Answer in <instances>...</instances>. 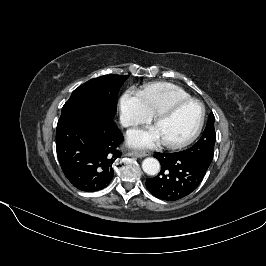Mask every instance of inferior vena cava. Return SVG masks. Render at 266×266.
<instances>
[{
  "label": "inferior vena cava",
  "instance_id": "inferior-vena-cava-1",
  "mask_svg": "<svg viewBox=\"0 0 266 266\" xmlns=\"http://www.w3.org/2000/svg\"><path fill=\"white\" fill-rule=\"evenodd\" d=\"M133 124V122L130 120V119H126L125 121H124V126H130V125H132Z\"/></svg>",
  "mask_w": 266,
  "mask_h": 266
}]
</instances>
